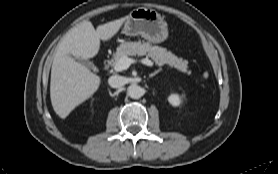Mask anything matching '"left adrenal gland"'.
I'll use <instances>...</instances> for the list:
<instances>
[{
	"label": "left adrenal gland",
	"mask_w": 278,
	"mask_h": 174,
	"mask_svg": "<svg viewBox=\"0 0 278 174\" xmlns=\"http://www.w3.org/2000/svg\"><path fill=\"white\" fill-rule=\"evenodd\" d=\"M160 71H161V69L156 70L155 72L149 74V77L151 78V77L155 76V75L158 74Z\"/></svg>",
	"instance_id": "a2214340"
}]
</instances>
